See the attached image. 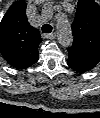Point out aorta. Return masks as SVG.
I'll return each instance as SVG.
<instances>
[{"label": "aorta", "mask_w": 100, "mask_h": 118, "mask_svg": "<svg viewBox=\"0 0 100 118\" xmlns=\"http://www.w3.org/2000/svg\"><path fill=\"white\" fill-rule=\"evenodd\" d=\"M57 32H58L57 39L61 46L68 47L72 44L73 41L72 30L70 27V23L66 19L57 22Z\"/></svg>", "instance_id": "762f6f07"}]
</instances>
